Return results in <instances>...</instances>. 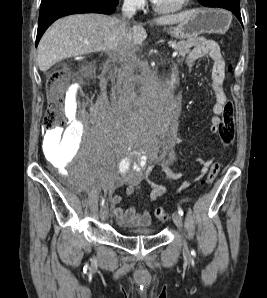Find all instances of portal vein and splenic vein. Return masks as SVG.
Returning a JSON list of instances; mask_svg holds the SVG:
<instances>
[{
  "instance_id": "1",
  "label": "portal vein and splenic vein",
  "mask_w": 267,
  "mask_h": 298,
  "mask_svg": "<svg viewBox=\"0 0 267 298\" xmlns=\"http://www.w3.org/2000/svg\"><path fill=\"white\" fill-rule=\"evenodd\" d=\"M177 54H178V52H177V51H175V52H173L172 56H173V57H176V56H177Z\"/></svg>"
}]
</instances>
